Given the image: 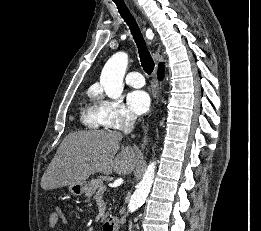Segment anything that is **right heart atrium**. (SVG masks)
<instances>
[{"label": "right heart atrium", "mask_w": 261, "mask_h": 231, "mask_svg": "<svg viewBox=\"0 0 261 231\" xmlns=\"http://www.w3.org/2000/svg\"><path fill=\"white\" fill-rule=\"evenodd\" d=\"M93 89L96 95L99 89ZM98 107L103 126L111 130H125L129 128L135 120V116L120 100L101 98Z\"/></svg>", "instance_id": "right-heart-atrium-1"}]
</instances>
